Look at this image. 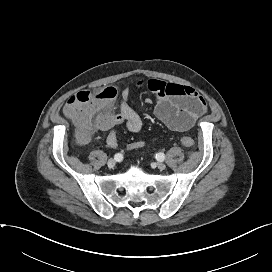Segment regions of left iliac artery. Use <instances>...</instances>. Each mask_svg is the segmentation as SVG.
<instances>
[{"instance_id":"1","label":"left iliac artery","mask_w":272,"mask_h":272,"mask_svg":"<svg viewBox=\"0 0 272 272\" xmlns=\"http://www.w3.org/2000/svg\"><path fill=\"white\" fill-rule=\"evenodd\" d=\"M156 159H157L158 161H164V160H165V155H164V153H157V154H156Z\"/></svg>"}]
</instances>
